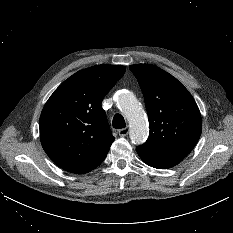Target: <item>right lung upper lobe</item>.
<instances>
[{"mask_svg":"<svg viewBox=\"0 0 233 233\" xmlns=\"http://www.w3.org/2000/svg\"><path fill=\"white\" fill-rule=\"evenodd\" d=\"M125 70L122 65L80 70L46 102L40 116V139L47 155L60 168L84 174L105 159L115 138L101 102Z\"/></svg>","mask_w":233,"mask_h":233,"instance_id":"cb5924a9","label":"right lung upper lobe"}]
</instances>
